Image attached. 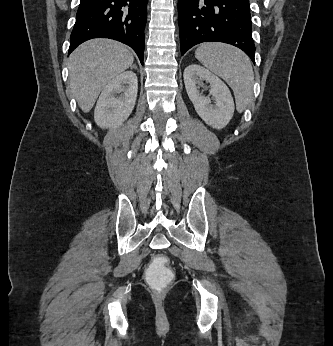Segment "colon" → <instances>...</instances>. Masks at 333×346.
<instances>
[{
	"label": "colon",
	"mask_w": 333,
	"mask_h": 346,
	"mask_svg": "<svg viewBox=\"0 0 333 346\" xmlns=\"http://www.w3.org/2000/svg\"><path fill=\"white\" fill-rule=\"evenodd\" d=\"M149 264L143 270L145 280L149 287L154 288L155 294H165L166 288L171 287L170 280H174L175 275L169 269L168 259L164 256L149 257Z\"/></svg>",
	"instance_id": "1"
}]
</instances>
